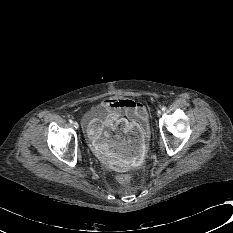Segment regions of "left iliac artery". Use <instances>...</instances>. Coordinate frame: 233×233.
I'll list each match as a JSON object with an SVG mask.
<instances>
[{
	"label": "left iliac artery",
	"instance_id": "left-iliac-artery-1",
	"mask_svg": "<svg viewBox=\"0 0 233 233\" xmlns=\"http://www.w3.org/2000/svg\"><path fill=\"white\" fill-rule=\"evenodd\" d=\"M162 110H163V111H165V110H166V107H165V106H163V107H162Z\"/></svg>",
	"mask_w": 233,
	"mask_h": 233
}]
</instances>
